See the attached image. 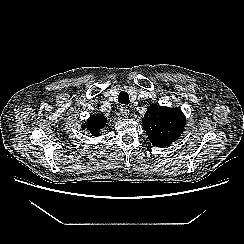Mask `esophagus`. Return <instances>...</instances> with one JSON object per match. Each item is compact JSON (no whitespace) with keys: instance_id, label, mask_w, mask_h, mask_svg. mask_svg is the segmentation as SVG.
I'll return each instance as SVG.
<instances>
[{"instance_id":"34e87169","label":"esophagus","mask_w":244,"mask_h":244,"mask_svg":"<svg viewBox=\"0 0 244 244\" xmlns=\"http://www.w3.org/2000/svg\"><path fill=\"white\" fill-rule=\"evenodd\" d=\"M120 110H121V114L124 117H128L130 111H129V108L127 106H122Z\"/></svg>"}]
</instances>
